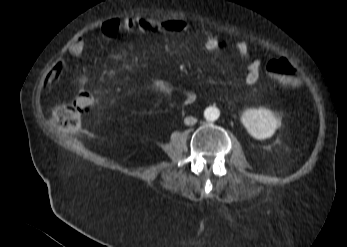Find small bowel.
Masks as SVG:
<instances>
[{"mask_svg": "<svg viewBox=\"0 0 347 247\" xmlns=\"http://www.w3.org/2000/svg\"><path fill=\"white\" fill-rule=\"evenodd\" d=\"M186 29L187 28L184 25H180L179 22L153 23V21L149 19L129 17L122 20L113 18L106 21L101 27V32L107 38H115L123 31L130 32L134 30H148L160 32L182 31ZM196 31L201 36L202 45L207 52L220 55L224 50H234L239 58L247 62V72L244 77L245 83L249 86H253L258 82L261 62L256 58L250 57L249 45L247 42L240 40L234 44L226 42L224 43L217 34L205 29L204 27H199ZM85 48V41L78 38L71 42L68 50L71 54L79 56L85 51ZM65 70L66 64L63 61L55 64L46 77V86L51 88L54 84H56L61 79ZM87 83L88 80L86 76L84 74L80 75L76 81L78 89L77 93L81 90H87ZM151 85L155 90L166 94H173L179 91L182 94L183 103L185 105H191L197 99V95L194 91L181 89L170 81L162 78H154Z\"/></svg>", "mask_w": 347, "mask_h": 247, "instance_id": "obj_1", "label": "small bowel"}]
</instances>
